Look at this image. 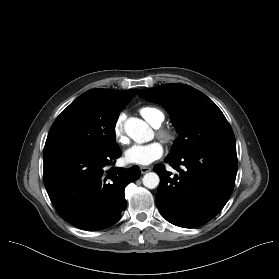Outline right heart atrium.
<instances>
[{
    "instance_id": "1",
    "label": "right heart atrium",
    "mask_w": 279,
    "mask_h": 279,
    "mask_svg": "<svg viewBox=\"0 0 279 279\" xmlns=\"http://www.w3.org/2000/svg\"><path fill=\"white\" fill-rule=\"evenodd\" d=\"M113 134H114L115 140L119 144L124 145L128 142V138L126 136L124 126H123V121H122L121 117L118 118L117 121L114 123Z\"/></svg>"
}]
</instances>
